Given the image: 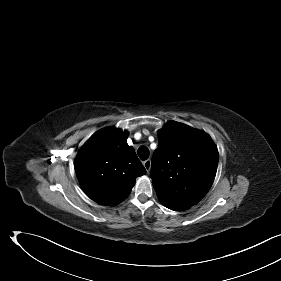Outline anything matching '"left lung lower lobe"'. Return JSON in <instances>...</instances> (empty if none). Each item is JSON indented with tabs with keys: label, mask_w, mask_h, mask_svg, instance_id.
<instances>
[{
	"label": "left lung lower lobe",
	"mask_w": 281,
	"mask_h": 281,
	"mask_svg": "<svg viewBox=\"0 0 281 281\" xmlns=\"http://www.w3.org/2000/svg\"><path fill=\"white\" fill-rule=\"evenodd\" d=\"M172 210H174V211H183V210H186V209L182 208V207H177V208H173Z\"/></svg>",
	"instance_id": "left-lung-lower-lobe-1"
}]
</instances>
